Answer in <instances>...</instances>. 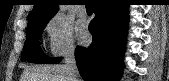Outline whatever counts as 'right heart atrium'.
<instances>
[{
  "label": "right heart atrium",
  "mask_w": 169,
  "mask_h": 81,
  "mask_svg": "<svg viewBox=\"0 0 169 81\" xmlns=\"http://www.w3.org/2000/svg\"><path fill=\"white\" fill-rule=\"evenodd\" d=\"M48 36V50L54 57H64L74 52V38L71 24L60 15L51 16L45 25Z\"/></svg>",
  "instance_id": "d8ad5b80"
}]
</instances>
